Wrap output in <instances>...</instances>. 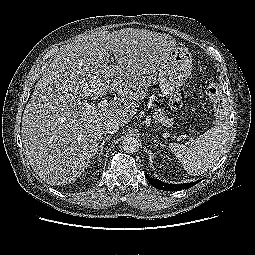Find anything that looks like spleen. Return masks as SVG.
Masks as SVG:
<instances>
[{
	"label": "spleen",
	"mask_w": 255,
	"mask_h": 255,
	"mask_svg": "<svg viewBox=\"0 0 255 255\" xmlns=\"http://www.w3.org/2000/svg\"><path fill=\"white\" fill-rule=\"evenodd\" d=\"M229 136L230 126L228 122H218L214 127L193 140L189 146L170 144V148L182 162L188 174L202 175L219 160Z\"/></svg>",
	"instance_id": "spleen-1"
}]
</instances>
